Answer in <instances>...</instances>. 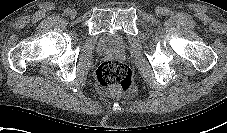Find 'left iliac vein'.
I'll list each match as a JSON object with an SVG mask.
<instances>
[{
  "label": "left iliac vein",
  "mask_w": 227,
  "mask_h": 133,
  "mask_svg": "<svg viewBox=\"0 0 227 133\" xmlns=\"http://www.w3.org/2000/svg\"><path fill=\"white\" fill-rule=\"evenodd\" d=\"M155 12H156V14H157L158 16H163V15H165L164 8L159 7V6L156 7Z\"/></svg>",
  "instance_id": "4c4485c4"
}]
</instances>
